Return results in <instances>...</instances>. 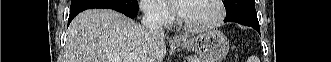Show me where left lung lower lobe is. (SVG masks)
Returning <instances> with one entry per match:
<instances>
[{"label": "left lung lower lobe", "instance_id": "left-lung-lower-lobe-1", "mask_svg": "<svg viewBox=\"0 0 331 62\" xmlns=\"http://www.w3.org/2000/svg\"><path fill=\"white\" fill-rule=\"evenodd\" d=\"M225 22H236V23L242 24L244 26H249L260 33V26H259L258 19L239 17V18H233V19H225Z\"/></svg>", "mask_w": 331, "mask_h": 62}]
</instances>
